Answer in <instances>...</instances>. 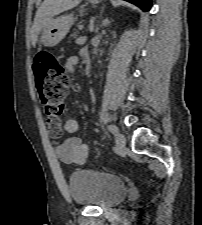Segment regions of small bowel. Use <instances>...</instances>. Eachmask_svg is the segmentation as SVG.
I'll return each mask as SVG.
<instances>
[{
  "label": "small bowel",
  "instance_id": "small-bowel-1",
  "mask_svg": "<svg viewBox=\"0 0 202 225\" xmlns=\"http://www.w3.org/2000/svg\"><path fill=\"white\" fill-rule=\"evenodd\" d=\"M87 49L81 50L79 55H72L66 59L65 67L73 71L80 64V57ZM63 128L68 136L64 139L61 146L57 149L59 160L66 165H83L88 156V146L83 139L76 134L79 132V122L75 118H66L63 122Z\"/></svg>",
  "mask_w": 202,
  "mask_h": 225
}]
</instances>
